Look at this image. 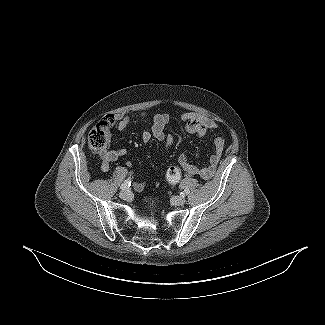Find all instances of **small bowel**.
<instances>
[{
	"label": "small bowel",
	"instance_id": "obj_1",
	"mask_svg": "<svg viewBox=\"0 0 325 325\" xmlns=\"http://www.w3.org/2000/svg\"><path fill=\"white\" fill-rule=\"evenodd\" d=\"M136 119H150L152 125L150 130L146 131L142 135V140L148 142L151 138H155L164 143L165 152H168L174 143V137L165 133V126L169 122V116L167 114H150L145 110L131 111L125 114H118L114 117L116 129L122 131L126 129L129 124ZM182 120L185 123V130L194 134L199 140H204L209 132L215 128L216 124L213 121L201 118L194 113H185L182 115ZM214 152L209 158L208 165L204 167L193 165L189 162L186 154L179 156V164L185 173L189 176H198L204 179L213 178L221 156L224 150V140L221 137H216L213 141ZM127 150L120 148L116 150L105 148L100 154V168L103 171H108L110 164L120 157L126 155ZM131 166V162L127 163ZM137 191H141L145 187V182H139L134 185Z\"/></svg>",
	"mask_w": 325,
	"mask_h": 325
}]
</instances>
